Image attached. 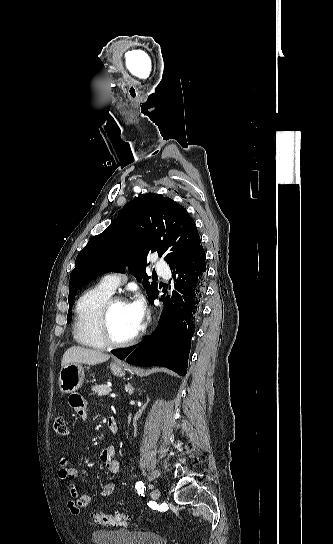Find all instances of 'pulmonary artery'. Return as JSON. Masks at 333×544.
<instances>
[{"label":"pulmonary artery","mask_w":333,"mask_h":544,"mask_svg":"<svg viewBox=\"0 0 333 544\" xmlns=\"http://www.w3.org/2000/svg\"><path fill=\"white\" fill-rule=\"evenodd\" d=\"M155 269L156 272L164 278H168L170 276V270L163 261H158ZM123 279L124 277L117 273L107 274L101 279V284L110 291L114 292L122 283Z\"/></svg>","instance_id":"e3ab8cb5"}]
</instances>
